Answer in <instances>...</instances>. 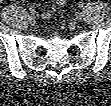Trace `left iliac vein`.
Instances as JSON below:
<instances>
[{"mask_svg": "<svg viewBox=\"0 0 111 106\" xmlns=\"http://www.w3.org/2000/svg\"><path fill=\"white\" fill-rule=\"evenodd\" d=\"M83 17H84V15H83L82 13H78V14L76 15V20H77V21H81V20L83 19Z\"/></svg>", "mask_w": 111, "mask_h": 106, "instance_id": "4c4485c4", "label": "left iliac vein"}]
</instances>
